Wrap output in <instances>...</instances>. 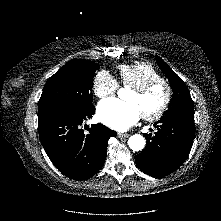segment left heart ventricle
<instances>
[{
    "mask_svg": "<svg viewBox=\"0 0 221 221\" xmlns=\"http://www.w3.org/2000/svg\"><path fill=\"white\" fill-rule=\"evenodd\" d=\"M165 97L163 87L158 86L146 95H138L135 91H131L126 100L134 103L140 110L141 114L152 113L156 111L162 104Z\"/></svg>",
    "mask_w": 221,
    "mask_h": 221,
    "instance_id": "b2bd125f",
    "label": "left heart ventricle"
}]
</instances>
